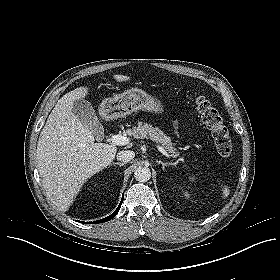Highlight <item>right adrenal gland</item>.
Wrapping results in <instances>:
<instances>
[{
	"label": "right adrenal gland",
	"mask_w": 280,
	"mask_h": 280,
	"mask_svg": "<svg viewBox=\"0 0 280 280\" xmlns=\"http://www.w3.org/2000/svg\"><path fill=\"white\" fill-rule=\"evenodd\" d=\"M113 165H118L119 167H121V166H123L124 165V163H120V162H113Z\"/></svg>",
	"instance_id": "obj_1"
}]
</instances>
